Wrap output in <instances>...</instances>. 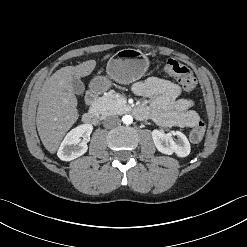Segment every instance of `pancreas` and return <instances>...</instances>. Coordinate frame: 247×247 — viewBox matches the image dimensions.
<instances>
[{"label":"pancreas","instance_id":"pancreas-1","mask_svg":"<svg viewBox=\"0 0 247 247\" xmlns=\"http://www.w3.org/2000/svg\"><path fill=\"white\" fill-rule=\"evenodd\" d=\"M94 106L96 112L102 116L119 114L125 108V105L118 104L115 99V93L112 91H109L104 96L98 98L95 101Z\"/></svg>","mask_w":247,"mask_h":247}]
</instances>
